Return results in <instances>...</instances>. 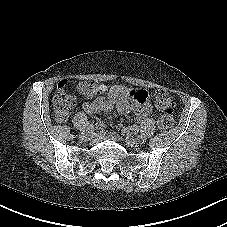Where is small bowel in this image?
Instances as JSON below:
<instances>
[{
  "instance_id": "obj_1",
  "label": "small bowel",
  "mask_w": 227,
  "mask_h": 227,
  "mask_svg": "<svg viewBox=\"0 0 227 227\" xmlns=\"http://www.w3.org/2000/svg\"><path fill=\"white\" fill-rule=\"evenodd\" d=\"M99 92L107 93V96H99L92 102H85L83 104L84 111L89 115H95L116 108L123 114L134 113L139 120H143L152 112V106L148 102L147 94L141 89L126 88L121 85L109 88L105 84H99ZM137 129V125H132L124 129V133L133 134ZM107 135L108 137H113L114 133L108 131Z\"/></svg>"
}]
</instances>
